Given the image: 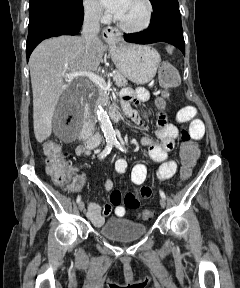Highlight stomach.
<instances>
[{"mask_svg": "<svg viewBox=\"0 0 240 288\" xmlns=\"http://www.w3.org/2000/svg\"><path fill=\"white\" fill-rule=\"evenodd\" d=\"M109 51L119 72L136 84L151 81L161 61L159 53L148 45L126 44L117 40L111 43Z\"/></svg>", "mask_w": 240, "mask_h": 288, "instance_id": "stomach-1", "label": "stomach"}]
</instances>
